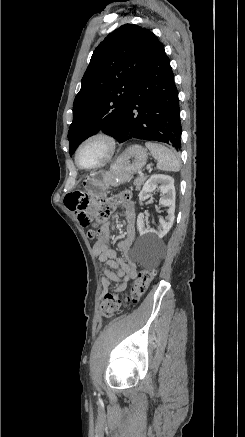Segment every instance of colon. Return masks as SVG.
<instances>
[{"instance_id":"1","label":"colon","mask_w":245,"mask_h":437,"mask_svg":"<svg viewBox=\"0 0 245 437\" xmlns=\"http://www.w3.org/2000/svg\"><path fill=\"white\" fill-rule=\"evenodd\" d=\"M128 197L129 195L127 192H121L115 197L100 200L97 207L93 211V215L90 216V221H106L111 214L114 203L126 201ZM96 234V231L93 229H90L88 231V235L90 238H95ZM154 277L155 271L153 269H143L142 271H140L132 287L124 296V298H120L117 294L113 292H106L104 295V301L101 306V313L103 318H112L113 315L120 310L123 302L136 304L145 294Z\"/></svg>"}]
</instances>
